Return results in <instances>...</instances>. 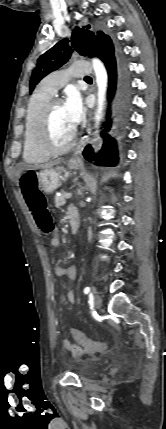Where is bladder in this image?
Segmentation results:
<instances>
[{"instance_id": "1", "label": "bladder", "mask_w": 166, "mask_h": 429, "mask_svg": "<svg viewBox=\"0 0 166 429\" xmlns=\"http://www.w3.org/2000/svg\"><path fill=\"white\" fill-rule=\"evenodd\" d=\"M92 368H93V367H92V364H86V365H85V370H86V371H91V370H92Z\"/></svg>"}]
</instances>
